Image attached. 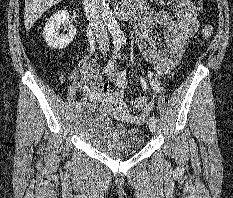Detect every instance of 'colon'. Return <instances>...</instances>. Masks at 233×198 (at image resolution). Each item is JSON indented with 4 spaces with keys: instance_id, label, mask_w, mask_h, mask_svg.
<instances>
[{
    "instance_id": "1",
    "label": "colon",
    "mask_w": 233,
    "mask_h": 198,
    "mask_svg": "<svg viewBox=\"0 0 233 198\" xmlns=\"http://www.w3.org/2000/svg\"><path fill=\"white\" fill-rule=\"evenodd\" d=\"M188 5L192 10L198 11L202 6V0H188ZM212 35H213L212 26L210 24L205 25L202 30L203 39L205 41H208L211 39ZM131 108L135 112H140L147 110L149 108V104L145 97L140 96L132 101Z\"/></svg>"
}]
</instances>
